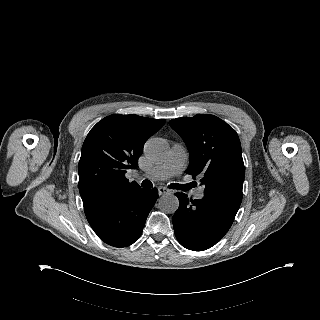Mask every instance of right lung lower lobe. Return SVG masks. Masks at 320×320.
<instances>
[{"instance_id":"98d812e1","label":"right lung lower lobe","mask_w":320,"mask_h":320,"mask_svg":"<svg viewBox=\"0 0 320 320\" xmlns=\"http://www.w3.org/2000/svg\"><path fill=\"white\" fill-rule=\"evenodd\" d=\"M157 189L132 190L126 195L98 208L86 211V218L105 243L114 247H126L140 237L146 218L154 206Z\"/></svg>"}]
</instances>
